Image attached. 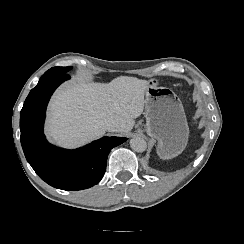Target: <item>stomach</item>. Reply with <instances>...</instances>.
<instances>
[{
    "mask_svg": "<svg viewBox=\"0 0 244 244\" xmlns=\"http://www.w3.org/2000/svg\"><path fill=\"white\" fill-rule=\"evenodd\" d=\"M145 90L146 132L158 141L157 154L172 159L183 152L188 143L189 127L180 98L158 80L148 81Z\"/></svg>",
    "mask_w": 244,
    "mask_h": 244,
    "instance_id": "1",
    "label": "stomach"
}]
</instances>
